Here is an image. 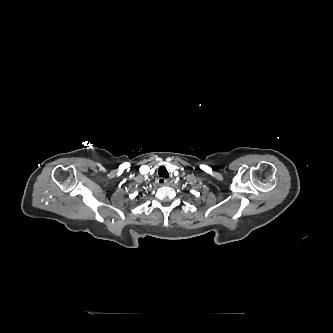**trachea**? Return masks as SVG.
I'll list each match as a JSON object with an SVG mask.
<instances>
[{"label": "trachea", "instance_id": "3493384b", "mask_svg": "<svg viewBox=\"0 0 333 333\" xmlns=\"http://www.w3.org/2000/svg\"><path fill=\"white\" fill-rule=\"evenodd\" d=\"M158 174L160 177H164V178H168L169 177V173L166 169L165 166H161L159 169H158Z\"/></svg>", "mask_w": 333, "mask_h": 333}]
</instances>
